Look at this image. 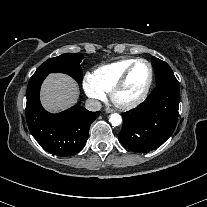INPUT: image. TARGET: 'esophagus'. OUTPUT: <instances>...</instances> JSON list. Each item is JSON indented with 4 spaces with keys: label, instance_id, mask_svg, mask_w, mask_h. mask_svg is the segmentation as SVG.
Here are the masks:
<instances>
[{
    "label": "esophagus",
    "instance_id": "34e87169",
    "mask_svg": "<svg viewBox=\"0 0 207 207\" xmlns=\"http://www.w3.org/2000/svg\"><path fill=\"white\" fill-rule=\"evenodd\" d=\"M113 111H114V110L111 109V108H106V109H105V112H106V113H112Z\"/></svg>",
    "mask_w": 207,
    "mask_h": 207
}]
</instances>
